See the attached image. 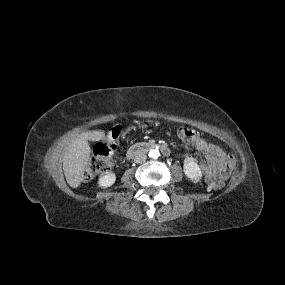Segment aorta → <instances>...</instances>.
<instances>
[{
    "mask_svg": "<svg viewBox=\"0 0 285 285\" xmlns=\"http://www.w3.org/2000/svg\"><path fill=\"white\" fill-rule=\"evenodd\" d=\"M159 156H160V152H159L158 149H151V150L149 151V157H150L151 159H157Z\"/></svg>",
    "mask_w": 285,
    "mask_h": 285,
    "instance_id": "1",
    "label": "aorta"
}]
</instances>
